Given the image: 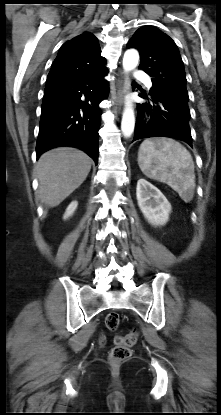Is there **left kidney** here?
Masks as SVG:
<instances>
[{
    "instance_id": "5707ae66",
    "label": "left kidney",
    "mask_w": 221,
    "mask_h": 415,
    "mask_svg": "<svg viewBox=\"0 0 221 415\" xmlns=\"http://www.w3.org/2000/svg\"><path fill=\"white\" fill-rule=\"evenodd\" d=\"M136 196L140 210L151 225L166 224L171 205L158 188L145 179H139Z\"/></svg>"
}]
</instances>
